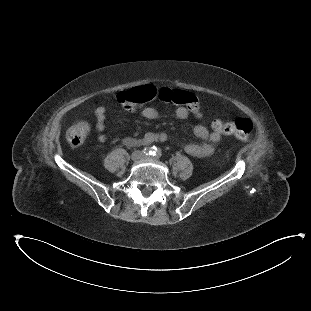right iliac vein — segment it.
Returning <instances> with one entry per match:
<instances>
[{
  "label": "right iliac vein",
  "instance_id": "63e3f726",
  "mask_svg": "<svg viewBox=\"0 0 311 311\" xmlns=\"http://www.w3.org/2000/svg\"><path fill=\"white\" fill-rule=\"evenodd\" d=\"M143 158V154L140 151H135L131 154V160L138 161Z\"/></svg>",
  "mask_w": 311,
  "mask_h": 311
}]
</instances>
